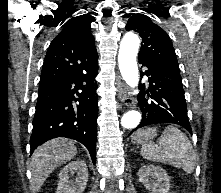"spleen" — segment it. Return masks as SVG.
I'll use <instances>...</instances> for the list:
<instances>
[{"label":"spleen","instance_id":"spleen-1","mask_svg":"<svg viewBox=\"0 0 221 193\" xmlns=\"http://www.w3.org/2000/svg\"><path fill=\"white\" fill-rule=\"evenodd\" d=\"M141 155L153 162L182 168L187 173L195 169L193 147L188 137L175 126H167L157 144L143 143Z\"/></svg>","mask_w":221,"mask_h":193}]
</instances>
